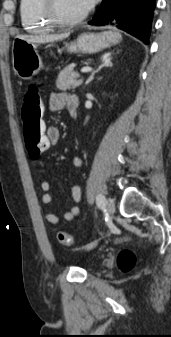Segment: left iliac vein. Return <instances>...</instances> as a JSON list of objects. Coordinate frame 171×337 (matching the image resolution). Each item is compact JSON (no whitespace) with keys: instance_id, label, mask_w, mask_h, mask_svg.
Listing matches in <instances>:
<instances>
[{"instance_id":"4c4485c4","label":"left iliac vein","mask_w":171,"mask_h":337,"mask_svg":"<svg viewBox=\"0 0 171 337\" xmlns=\"http://www.w3.org/2000/svg\"><path fill=\"white\" fill-rule=\"evenodd\" d=\"M105 208H106V211L109 213V214H113L114 211H115V203H114V200L111 199V198H108L106 201H105ZM93 246V244H91L89 246V248H91Z\"/></svg>"}]
</instances>
